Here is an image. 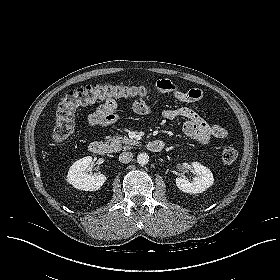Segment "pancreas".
Returning a JSON list of instances; mask_svg holds the SVG:
<instances>
[{
	"mask_svg": "<svg viewBox=\"0 0 280 280\" xmlns=\"http://www.w3.org/2000/svg\"><path fill=\"white\" fill-rule=\"evenodd\" d=\"M107 142L110 143V147L114 151H119L121 150V148L130 149L131 146H134L139 143L136 140L129 139L126 136L121 137L119 135L113 137H107Z\"/></svg>",
	"mask_w": 280,
	"mask_h": 280,
	"instance_id": "obj_1",
	"label": "pancreas"
}]
</instances>
